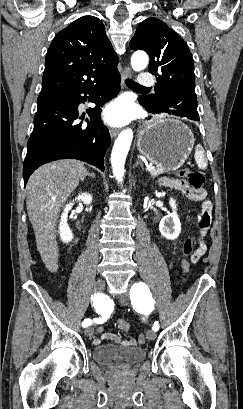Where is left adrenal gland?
I'll return each instance as SVG.
<instances>
[{
  "instance_id": "left-adrenal-gland-1",
  "label": "left adrenal gland",
  "mask_w": 243,
  "mask_h": 409,
  "mask_svg": "<svg viewBox=\"0 0 243 409\" xmlns=\"http://www.w3.org/2000/svg\"><path fill=\"white\" fill-rule=\"evenodd\" d=\"M138 165H140L141 168H143V164L141 161H136V163L134 164L135 167H137Z\"/></svg>"
}]
</instances>
